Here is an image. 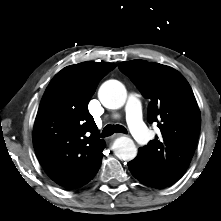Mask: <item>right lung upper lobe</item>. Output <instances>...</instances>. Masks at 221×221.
<instances>
[{"mask_svg": "<svg viewBox=\"0 0 221 221\" xmlns=\"http://www.w3.org/2000/svg\"><path fill=\"white\" fill-rule=\"evenodd\" d=\"M115 67L102 62L65 67L42 97L33 129L34 149L48 176L65 188L88 183L101 164L105 141L87 106L99 81Z\"/></svg>", "mask_w": 221, "mask_h": 221, "instance_id": "obj_1", "label": "right lung upper lobe"}]
</instances>
